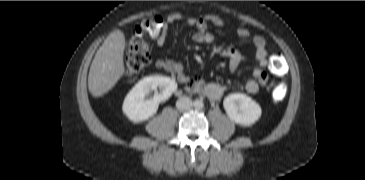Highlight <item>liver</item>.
Returning <instances> with one entry per match:
<instances>
[{
	"mask_svg": "<svg viewBox=\"0 0 365 180\" xmlns=\"http://www.w3.org/2000/svg\"><path fill=\"white\" fill-rule=\"evenodd\" d=\"M124 49L125 35L117 30L110 33L97 50L88 76V89L92 96H103L124 75Z\"/></svg>",
	"mask_w": 365,
	"mask_h": 180,
	"instance_id": "1",
	"label": "liver"
}]
</instances>
